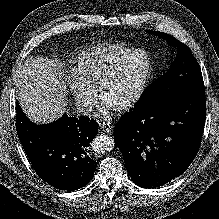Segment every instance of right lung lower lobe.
I'll return each instance as SVG.
<instances>
[{"label":"right lung lower lobe","mask_w":219,"mask_h":219,"mask_svg":"<svg viewBox=\"0 0 219 219\" xmlns=\"http://www.w3.org/2000/svg\"><path fill=\"white\" fill-rule=\"evenodd\" d=\"M16 130L37 175L49 185L67 191L77 190L92 179L97 163L87 147L98 133L95 120L63 115L57 121L36 125L17 103Z\"/></svg>","instance_id":"1"}]
</instances>
